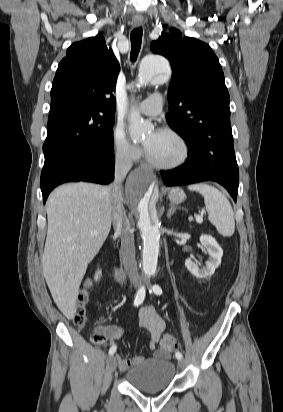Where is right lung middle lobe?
Wrapping results in <instances>:
<instances>
[{"instance_id": "1", "label": "right lung middle lobe", "mask_w": 283, "mask_h": 412, "mask_svg": "<svg viewBox=\"0 0 283 412\" xmlns=\"http://www.w3.org/2000/svg\"><path fill=\"white\" fill-rule=\"evenodd\" d=\"M114 116L97 109L70 108L62 114L49 115L44 156L62 151L113 152Z\"/></svg>"}]
</instances>
